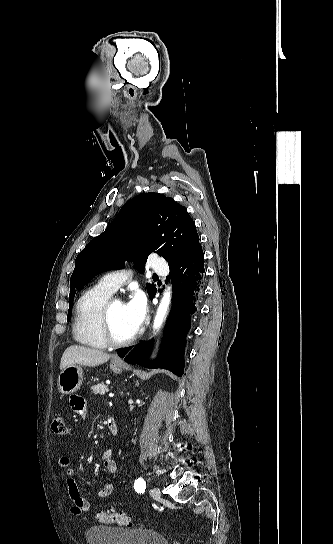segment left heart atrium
I'll return each mask as SVG.
<instances>
[{"label":"left heart atrium","mask_w":333,"mask_h":544,"mask_svg":"<svg viewBox=\"0 0 333 544\" xmlns=\"http://www.w3.org/2000/svg\"><path fill=\"white\" fill-rule=\"evenodd\" d=\"M126 312L131 326L137 331L146 316L147 303L142 292H136L131 299L125 304Z\"/></svg>","instance_id":"1"}]
</instances>
